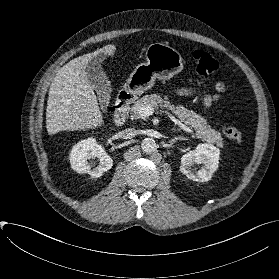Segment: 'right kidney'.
Instances as JSON below:
<instances>
[{
	"label": "right kidney",
	"instance_id": "1",
	"mask_svg": "<svg viewBox=\"0 0 279 279\" xmlns=\"http://www.w3.org/2000/svg\"><path fill=\"white\" fill-rule=\"evenodd\" d=\"M98 158L99 165L92 168L88 160ZM70 163L78 173H88L92 177H100L112 167V159L105 149L94 138L81 140L73 146L70 154Z\"/></svg>",
	"mask_w": 279,
	"mask_h": 279
}]
</instances>
